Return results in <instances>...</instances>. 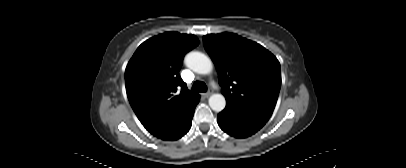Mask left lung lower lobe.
<instances>
[{
	"label": "left lung lower lobe",
	"mask_w": 406,
	"mask_h": 168,
	"mask_svg": "<svg viewBox=\"0 0 406 168\" xmlns=\"http://www.w3.org/2000/svg\"><path fill=\"white\" fill-rule=\"evenodd\" d=\"M270 117L227 103L218 114L220 128L236 138H245L261 129Z\"/></svg>",
	"instance_id": "left-lung-lower-lobe-1"
}]
</instances>
